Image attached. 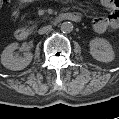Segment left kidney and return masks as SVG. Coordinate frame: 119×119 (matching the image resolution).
<instances>
[{
    "mask_svg": "<svg viewBox=\"0 0 119 119\" xmlns=\"http://www.w3.org/2000/svg\"><path fill=\"white\" fill-rule=\"evenodd\" d=\"M90 54L100 62H111L114 59V52L111 44L102 38H95L90 41Z\"/></svg>",
    "mask_w": 119,
    "mask_h": 119,
    "instance_id": "left-kidney-1",
    "label": "left kidney"
}]
</instances>
